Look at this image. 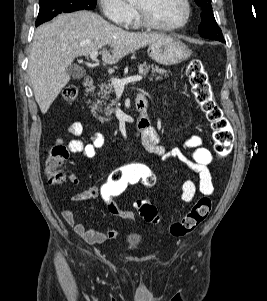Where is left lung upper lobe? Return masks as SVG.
Returning a JSON list of instances; mask_svg holds the SVG:
<instances>
[{
    "instance_id": "left-lung-upper-lobe-1",
    "label": "left lung upper lobe",
    "mask_w": 267,
    "mask_h": 301,
    "mask_svg": "<svg viewBox=\"0 0 267 301\" xmlns=\"http://www.w3.org/2000/svg\"><path fill=\"white\" fill-rule=\"evenodd\" d=\"M197 5L201 7L203 12L201 13V24L199 26V33L202 37L224 41L222 31L216 23L214 14L212 11L211 0H195Z\"/></svg>"
}]
</instances>
